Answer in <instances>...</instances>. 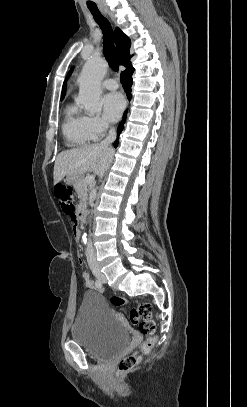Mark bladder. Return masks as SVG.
Listing matches in <instances>:
<instances>
[{
	"label": "bladder",
	"mask_w": 247,
	"mask_h": 407,
	"mask_svg": "<svg viewBox=\"0 0 247 407\" xmlns=\"http://www.w3.org/2000/svg\"><path fill=\"white\" fill-rule=\"evenodd\" d=\"M71 336L89 353L102 358L120 353L130 337L128 329L96 291L84 294Z\"/></svg>",
	"instance_id": "obj_1"
}]
</instances>
